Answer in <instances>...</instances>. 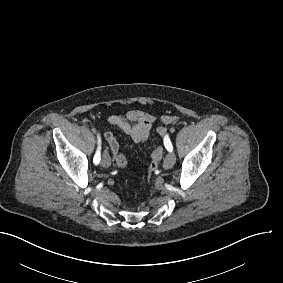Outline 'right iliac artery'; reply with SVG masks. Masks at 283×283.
I'll return each instance as SVG.
<instances>
[{
  "mask_svg": "<svg viewBox=\"0 0 283 283\" xmlns=\"http://www.w3.org/2000/svg\"><path fill=\"white\" fill-rule=\"evenodd\" d=\"M99 147H98V150L96 151V154H95V156H94V158H93V162L97 165V164H99L100 163V160H101V153H100V149H101V147H100V142H101V140H100V138H99Z\"/></svg>",
  "mask_w": 283,
  "mask_h": 283,
  "instance_id": "1",
  "label": "right iliac artery"
}]
</instances>
